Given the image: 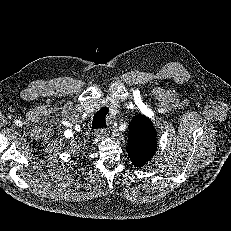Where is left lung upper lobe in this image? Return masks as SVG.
I'll list each match as a JSON object with an SVG mask.
<instances>
[{
	"instance_id": "1",
	"label": "left lung upper lobe",
	"mask_w": 231,
	"mask_h": 231,
	"mask_svg": "<svg viewBox=\"0 0 231 231\" xmlns=\"http://www.w3.org/2000/svg\"><path fill=\"white\" fill-rule=\"evenodd\" d=\"M127 152L136 167H142L155 154L156 131L152 122L145 116L133 118L130 125Z\"/></svg>"
}]
</instances>
